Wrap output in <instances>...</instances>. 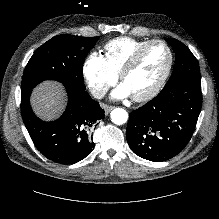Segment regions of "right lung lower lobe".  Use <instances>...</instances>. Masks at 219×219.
<instances>
[{
  "mask_svg": "<svg viewBox=\"0 0 219 219\" xmlns=\"http://www.w3.org/2000/svg\"><path fill=\"white\" fill-rule=\"evenodd\" d=\"M64 86L68 104L58 120L45 122L33 113L29 102L31 92L21 94V113L37 149L54 162L72 164L85 158L94 148V143L89 140V131L104 118V110L84 87Z\"/></svg>",
  "mask_w": 219,
  "mask_h": 219,
  "instance_id": "obj_1",
  "label": "right lung lower lobe"
}]
</instances>
